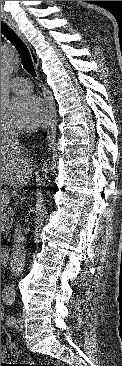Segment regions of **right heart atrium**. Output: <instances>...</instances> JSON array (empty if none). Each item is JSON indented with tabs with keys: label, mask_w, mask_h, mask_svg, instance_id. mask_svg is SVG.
Listing matches in <instances>:
<instances>
[{
	"label": "right heart atrium",
	"mask_w": 122,
	"mask_h": 366,
	"mask_svg": "<svg viewBox=\"0 0 122 366\" xmlns=\"http://www.w3.org/2000/svg\"><path fill=\"white\" fill-rule=\"evenodd\" d=\"M7 130H8V127L4 123H1V135L6 133Z\"/></svg>",
	"instance_id": "obj_1"
}]
</instances>
